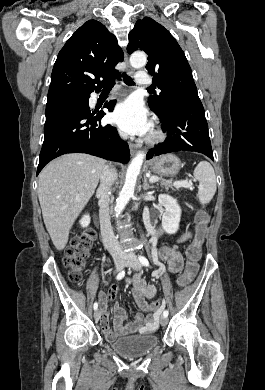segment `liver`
Wrapping results in <instances>:
<instances>
[{
    "label": "liver",
    "instance_id": "6515ba94",
    "mask_svg": "<svg viewBox=\"0 0 265 390\" xmlns=\"http://www.w3.org/2000/svg\"><path fill=\"white\" fill-rule=\"evenodd\" d=\"M105 161L82 153L65 154L40 173L38 197L55 248L63 250L76 218L95 192Z\"/></svg>",
    "mask_w": 265,
    "mask_h": 390
}]
</instances>
